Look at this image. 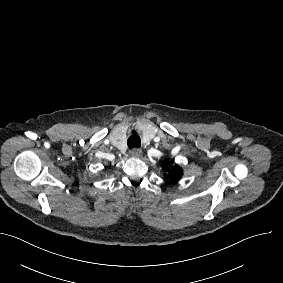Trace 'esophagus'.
Wrapping results in <instances>:
<instances>
[{
    "label": "esophagus",
    "instance_id": "obj_1",
    "mask_svg": "<svg viewBox=\"0 0 283 283\" xmlns=\"http://www.w3.org/2000/svg\"><path fill=\"white\" fill-rule=\"evenodd\" d=\"M130 156L132 158H141L142 157V151L141 149L134 148L130 151Z\"/></svg>",
    "mask_w": 283,
    "mask_h": 283
}]
</instances>
